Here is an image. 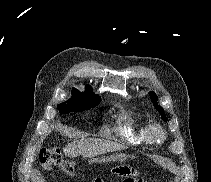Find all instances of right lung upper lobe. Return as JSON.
<instances>
[{"instance_id":"obj_1","label":"right lung upper lobe","mask_w":211,"mask_h":182,"mask_svg":"<svg viewBox=\"0 0 211 182\" xmlns=\"http://www.w3.org/2000/svg\"><path fill=\"white\" fill-rule=\"evenodd\" d=\"M86 91L92 94V88L90 86H86ZM98 96V95H96Z\"/></svg>"}]
</instances>
